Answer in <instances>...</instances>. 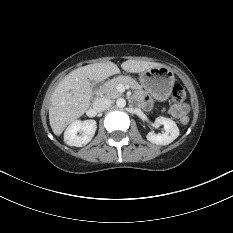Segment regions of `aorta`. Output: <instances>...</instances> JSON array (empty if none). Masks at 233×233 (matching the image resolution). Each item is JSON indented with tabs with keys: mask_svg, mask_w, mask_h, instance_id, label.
<instances>
[{
	"mask_svg": "<svg viewBox=\"0 0 233 233\" xmlns=\"http://www.w3.org/2000/svg\"><path fill=\"white\" fill-rule=\"evenodd\" d=\"M116 105H117V107H119V108H123V107H125V105H126V100H125L124 98H118V99L116 100Z\"/></svg>",
	"mask_w": 233,
	"mask_h": 233,
	"instance_id": "1",
	"label": "aorta"
}]
</instances>
